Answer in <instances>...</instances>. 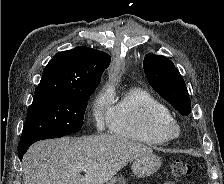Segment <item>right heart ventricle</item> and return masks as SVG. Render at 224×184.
Masks as SVG:
<instances>
[{
	"label": "right heart ventricle",
	"mask_w": 224,
	"mask_h": 184,
	"mask_svg": "<svg viewBox=\"0 0 224 184\" xmlns=\"http://www.w3.org/2000/svg\"><path fill=\"white\" fill-rule=\"evenodd\" d=\"M172 118L168 107L149 91L134 87L113 104L110 129L115 135L155 146L168 141L159 131L160 122Z\"/></svg>",
	"instance_id": "1"
}]
</instances>
